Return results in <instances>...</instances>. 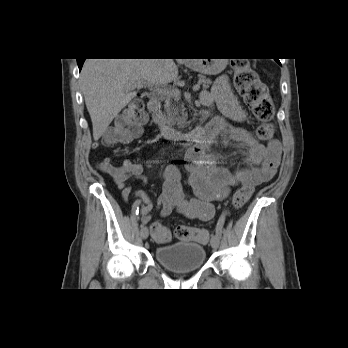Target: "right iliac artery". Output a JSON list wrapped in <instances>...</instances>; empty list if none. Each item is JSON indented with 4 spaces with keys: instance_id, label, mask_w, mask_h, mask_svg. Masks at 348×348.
<instances>
[{
    "instance_id": "obj_1",
    "label": "right iliac artery",
    "mask_w": 348,
    "mask_h": 348,
    "mask_svg": "<svg viewBox=\"0 0 348 348\" xmlns=\"http://www.w3.org/2000/svg\"><path fill=\"white\" fill-rule=\"evenodd\" d=\"M141 200L139 198L133 199L132 207H133V220H139L140 211L138 210L140 207Z\"/></svg>"
}]
</instances>
